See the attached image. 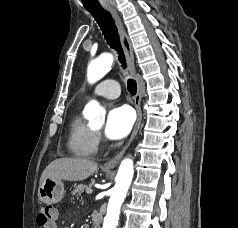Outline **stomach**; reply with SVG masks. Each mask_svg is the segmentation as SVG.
Listing matches in <instances>:
<instances>
[{
  "mask_svg": "<svg viewBox=\"0 0 238 228\" xmlns=\"http://www.w3.org/2000/svg\"><path fill=\"white\" fill-rule=\"evenodd\" d=\"M64 195V184L60 179L48 178L43 181L38 189V197L45 204L59 202Z\"/></svg>",
  "mask_w": 238,
  "mask_h": 228,
  "instance_id": "obj_1",
  "label": "stomach"
}]
</instances>
